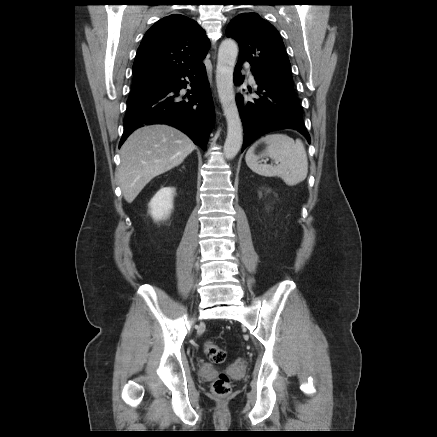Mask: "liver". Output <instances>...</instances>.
Wrapping results in <instances>:
<instances>
[{"label":"liver","instance_id":"1","mask_svg":"<svg viewBox=\"0 0 437 437\" xmlns=\"http://www.w3.org/2000/svg\"><path fill=\"white\" fill-rule=\"evenodd\" d=\"M194 149L186 134L168 125L135 130L120 151L118 180L125 200L132 203L154 177L180 165Z\"/></svg>","mask_w":437,"mask_h":437}]
</instances>
